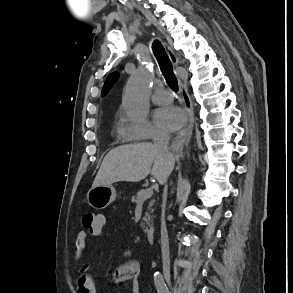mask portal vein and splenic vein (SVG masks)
Masks as SVG:
<instances>
[{
  "label": "portal vein and splenic vein",
  "instance_id": "1",
  "mask_svg": "<svg viewBox=\"0 0 293 293\" xmlns=\"http://www.w3.org/2000/svg\"><path fill=\"white\" fill-rule=\"evenodd\" d=\"M152 194H153V188H148V189H146V192H145L143 198H144V199H147V198L151 197Z\"/></svg>",
  "mask_w": 293,
  "mask_h": 293
}]
</instances>
